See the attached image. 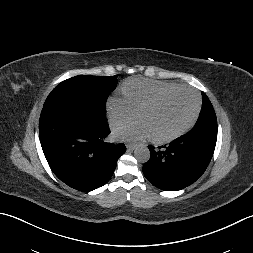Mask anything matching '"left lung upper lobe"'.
<instances>
[{
	"label": "left lung upper lobe",
	"mask_w": 253,
	"mask_h": 253,
	"mask_svg": "<svg viewBox=\"0 0 253 253\" xmlns=\"http://www.w3.org/2000/svg\"><path fill=\"white\" fill-rule=\"evenodd\" d=\"M204 100L199 119L191 131H203L217 135V119L214 108L205 93H202Z\"/></svg>",
	"instance_id": "1"
}]
</instances>
